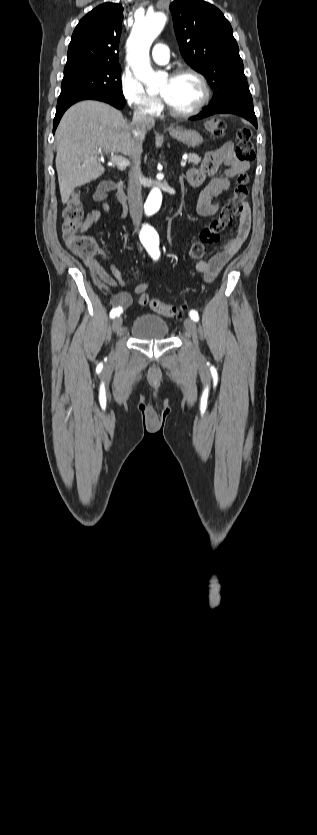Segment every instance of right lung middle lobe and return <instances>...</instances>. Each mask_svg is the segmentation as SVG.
Masks as SVG:
<instances>
[{
    "mask_svg": "<svg viewBox=\"0 0 317 835\" xmlns=\"http://www.w3.org/2000/svg\"><path fill=\"white\" fill-rule=\"evenodd\" d=\"M118 64H66L57 105L94 94L123 96Z\"/></svg>",
    "mask_w": 317,
    "mask_h": 835,
    "instance_id": "dd1d6c3e",
    "label": "right lung middle lobe"
}]
</instances>
